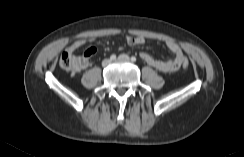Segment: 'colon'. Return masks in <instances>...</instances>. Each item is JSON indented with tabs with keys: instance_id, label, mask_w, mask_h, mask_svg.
Listing matches in <instances>:
<instances>
[{
	"instance_id": "obj_1",
	"label": "colon",
	"mask_w": 244,
	"mask_h": 157,
	"mask_svg": "<svg viewBox=\"0 0 244 157\" xmlns=\"http://www.w3.org/2000/svg\"><path fill=\"white\" fill-rule=\"evenodd\" d=\"M93 54V48H88L82 55L77 54L74 48H68L60 57V67L71 75H77L87 66L88 58ZM181 65L183 68L189 66L187 57L182 58Z\"/></svg>"
}]
</instances>
